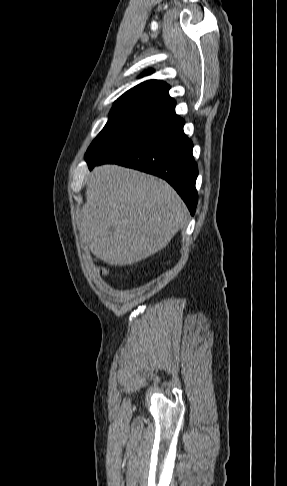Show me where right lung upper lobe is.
<instances>
[{
  "label": "right lung upper lobe",
  "instance_id": "cb5924a9",
  "mask_svg": "<svg viewBox=\"0 0 287 486\" xmlns=\"http://www.w3.org/2000/svg\"><path fill=\"white\" fill-rule=\"evenodd\" d=\"M152 70L144 72L149 75ZM169 85L161 80H148L131 88L117 99L113 107L148 106L175 112V100L168 94Z\"/></svg>",
  "mask_w": 287,
  "mask_h": 486
}]
</instances>
